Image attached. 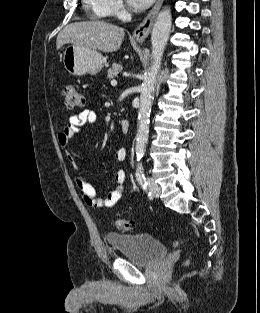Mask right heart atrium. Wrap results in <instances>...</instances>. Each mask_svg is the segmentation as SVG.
<instances>
[{
	"label": "right heart atrium",
	"mask_w": 260,
	"mask_h": 313,
	"mask_svg": "<svg viewBox=\"0 0 260 313\" xmlns=\"http://www.w3.org/2000/svg\"><path fill=\"white\" fill-rule=\"evenodd\" d=\"M110 7V14L114 16H121L123 14L122 0H108Z\"/></svg>",
	"instance_id": "1"
}]
</instances>
